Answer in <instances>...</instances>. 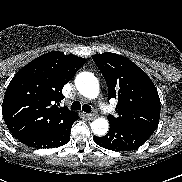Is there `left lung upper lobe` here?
Listing matches in <instances>:
<instances>
[{
	"label": "left lung upper lobe",
	"instance_id": "1",
	"mask_svg": "<svg viewBox=\"0 0 182 182\" xmlns=\"http://www.w3.org/2000/svg\"><path fill=\"white\" fill-rule=\"evenodd\" d=\"M92 59L106 81L108 99L118 100L117 116L109 115V122L155 131L160 98L149 76L131 60L115 53L95 54Z\"/></svg>",
	"mask_w": 182,
	"mask_h": 182
}]
</instances>
